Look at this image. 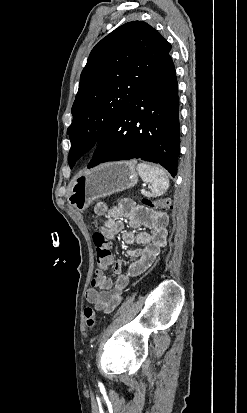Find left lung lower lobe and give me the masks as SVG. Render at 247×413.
<instances>
[{
  "label": "left lung lower lobe",
  "instance_id": "0a47b994",
  "mask_svg": "<svg viewBox=\"0 0 247 413\" xmlns=\"http://www.w3.org/2000/svg\"><path fill=\"white\" fill-rule=\"evenodd\" d=\"M179 131L178 84L168 53L97 145L87 167L140 158L159 163L174 177L180 151Z\"/></svg>",
  "mask_w": 247,
  "mask_h": 413
}]
</instances>
